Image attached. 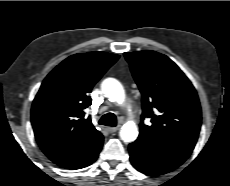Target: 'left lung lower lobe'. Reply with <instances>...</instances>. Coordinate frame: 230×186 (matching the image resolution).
I'll use <instances>...</instances> for the list:
<instances>
[{
  "label": "left lung lower lobe",
  "instance_id": "1",
  "mask_svg": "<svg viewBox=\"0 0 230 186\" xmlns=\"http://www.w3.org/2000/svg\"><path fill=\"white\" fill-rule=\"evenodd\" d=\"M192 150L165 145L151 138L138 137L129 144L130 161L140 172L157 176L168 173L180 166Z\"/></svg>",
  "mask_w": 230,
  "mask_h": 186
}]
</instances>
